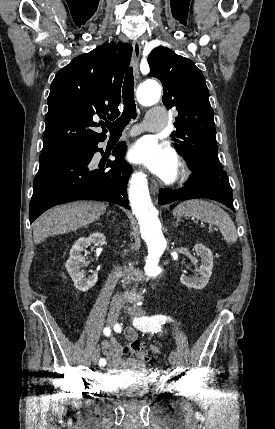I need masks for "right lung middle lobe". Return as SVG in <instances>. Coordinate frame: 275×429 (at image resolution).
I'll return each mask as SVG.
<instances>
[{
	"label": "right lung middle lobe",
	"instance_id": "1",
	"mask_svg": "<svg viewBox=\"0 0 275 429\" xmlns=\"http://www.w3.org/2000/svg\"><path fill=\"white\" fill-rule=\"evenodd\" d=\"M87 146L88 145H84V146H81V147H78V148H75V149H72V150H70V151H68V152H65L64 154H62V155H59V156H56V157H53V158H48V159H39L40 160V162H43V161H47V160H51V159H55V158H58V157H61V156H64V155H68V154H70V153H72V152H75V151H77V150H79V149H85V148H87Z\"/></svg>",
	"mask_w": 275,
	"mask_h": 429
}]
</instances>
